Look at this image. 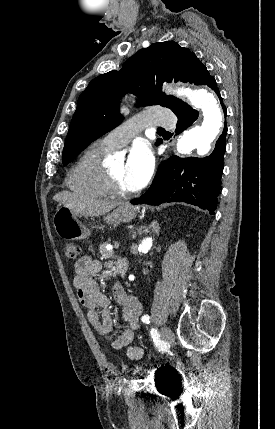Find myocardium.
<instances>
[{
    "label": "myocardium",
    "instance_id": "myocardium-1",
    "mask_svg": "<svg viewBox=\"0 0 275 429\" xmlns=\"http://www.w3.org/2000/svg\"><path fill=\"white\" fill-rule=\"evenodd\" d=\"M106 173L108 179V186L111 194L118 197H126L131 195L130 191H127L120 186L118 180L115 178L109 168L106 169Z\"/></svg>",
    "mask_w": 275,
    "mask_h": 429
}]
</instances>
